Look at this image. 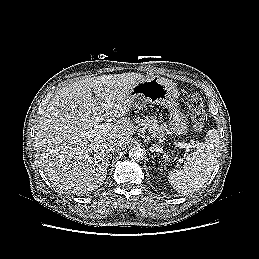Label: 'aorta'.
Segmentation results:
<instances>
[{
    "label": "aorta",
    "mask_w": 259,
    "mask_h": 259,
    "mask_svg": "<svg viewBox=\"0 0 259 259\" xmlns=\"http://www.w3.org/2000/svg\"><path fill=\"white\" fill-rule=\"evenodd\" d=\"M128 155L132 161H140L143 159L144 151L140 147H132Z\"/></svg>",
    "instance_id": "762f6f07"
}]
</instances>
